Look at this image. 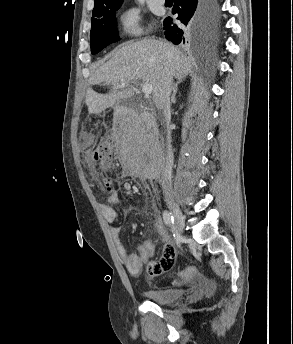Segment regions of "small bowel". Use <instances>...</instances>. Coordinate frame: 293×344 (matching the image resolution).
Here are the masks:
<instances>
[{
  "mask_svg": "<svg viewBox=\"0 0 293 344\" xmlns=\"http://www.w3.org/2000/svg\"><path fill=\"white\" fill-rule=\"evenodd\" d=\"M83 145L84 147H88L89 142L85 141ZM120 202L119 194L114 192L108 196L107 204L101 205V212L108 222L112 223L116 220L117 213L115 207L118 206ZM154 223L161 242L163 243L162 256L157 260H153L156 252V243L153 240H145L138 247L135 253H130L120 239V227L113 226L110 228L116 252L127 271L133 276H139L145 265H147V272L150 276H158L170 270L174 264L176 256L175 247L170 239L167 229L163 225L157 213L154 215ZM193 278H200V275L196 274L186 282H190ZM212 291V284L201 279V285L193 287L190 298L198 299L204 295L210 294Z\"/></svg>",
  "mask_w": 293,
  "mask_h": 344,
  "instance_id": "obj_1",
  "label": "small bowel"
}]
</instances>
